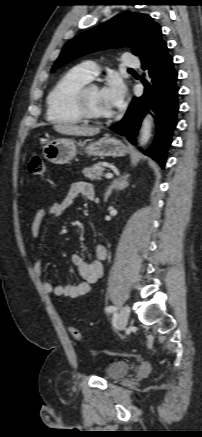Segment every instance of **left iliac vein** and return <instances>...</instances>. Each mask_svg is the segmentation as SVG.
I'll use <instances>...</instances> for the list:
<instances>
[{"label": "left iliac vein", "mask_w": 202, "mask_h": 437, "mask_svg": "<svg viewBox=\"0 0 202 437\" xmlns=\"http://www.w3.org/2000/svg\"><path fill=\"white\" fill-rule=\"evenodd\" d=\"M129 315H130L129 306H124L118 315V327L120 329H124L126 327L129 319Z\"/></svg>", "instance_id": "left-iliac-vein-1"}]
</instances>
